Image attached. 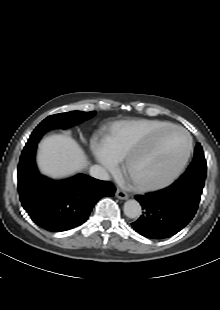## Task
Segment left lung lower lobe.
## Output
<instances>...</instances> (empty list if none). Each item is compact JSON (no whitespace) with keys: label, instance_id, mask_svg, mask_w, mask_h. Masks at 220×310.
<instances>
[{"label":"left lung lower lobe","instance_id":"0a47b994","mask_svg":"<svg viewBox=\"0 0 220 310\" xmlns=\"http://www.w3.org/2000/svg\"><path fill=\"white\" fill-rule=\"evenodd\" d=\"M204 183L175 181L169 187L136 196L143 214L132 223L141 235L151 239H163L175 235L194 217Z\"/></svg>","mask_w":220,"mask_h":310}]
</instances>
